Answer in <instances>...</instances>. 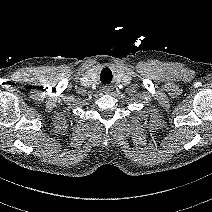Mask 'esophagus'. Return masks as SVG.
I'll return each instance as SVG.
<instances>
[{"label":"esophagus","instance_id":"1","mask_svg":"<svg viewBox=\"0 0 212 212\" xmlns=\"http://www.w3.org/2000/svg\"><path fill=\"white\" fill-rule=\"evenodd\" d=\"M110 91H111V87H109V86L103 87V92L104 93H109Z\"/></svg>","mask_w":212,"mask_h":212}]
</instances>
